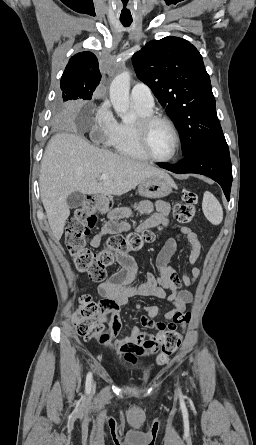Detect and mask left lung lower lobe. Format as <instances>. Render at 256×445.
Segmentation results:
<instances>
[{
	"label": "left lung lower lobe",
	"instance_id": "1",
	"mask_svg": "<svg viewBox=\"0 0 256 445\" xmlns=\"http://www.w3.org/2000/svg\"><path fill=\"white\" fill-rule=\"evenodd\" d=\"M158 165L174 173H196L208 176L220 184L227 200H229L232 166L227 143L210 144L197 148L174 166L165 163H158Z\"/></svg>",
	"mask_w": 256,
	"mask_h": 445
}]
</instances>
